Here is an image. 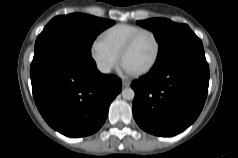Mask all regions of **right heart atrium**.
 <instances>
[{
    "label": "right heart atrium",
    "mask_w": 238,
    "mask_h": 158,
    "mask_svg": "<svg viewBox=\"0 0 238 158\" xmlns=\"http://www.w3.org/2000/svg\"><path fill=\"white\" fill-rule=\"evenodd\" d=\"M91 56L98 69L110 73L119 63V55L106 45L101 38L94 40L91 45Z\"/></svg>",
    "instance_id": "1"
}]
</instances>
